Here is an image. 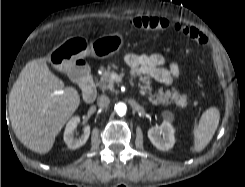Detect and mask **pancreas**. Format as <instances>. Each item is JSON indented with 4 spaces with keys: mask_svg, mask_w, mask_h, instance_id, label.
Here are the masks:
<instances>
[{
    "mask_svg": "<svg viewBox=\"0 0 245 187\" xmlns=\"http://www.w3.org/2000/svg\"><path fill=\"white\" fill-rule=\"evenodd\" d=\"M100 71L102 72V76L100 77V80L97 82V86L104 90H113L114 89V81L111 78L112 70L111 67L108 66L105 68L104 66H101ZM139 80L142 82L143 85H140L141 88V94H145L149 89L151 85V79L148 76H141L139 77ZM149 101L153 104H170L175 102L177 105L184 107L187 105V96L179 94L178 91L172 90V91H166L165 93L162 91V89H159L158 92L152 94L149 92Z\"/></svg>",
    "mask_w": 245,
    "mask_h": 187,
    "instance_id": "pancreas-1",
    "label": "pancreas"
}]
</instances>
